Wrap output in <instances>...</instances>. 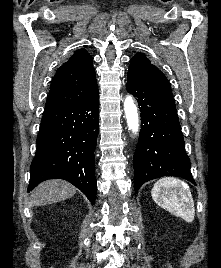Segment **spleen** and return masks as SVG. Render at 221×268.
Returning a JSON list of instances; mask_svg holds the SVG:
<instances>
[{"label": "spleen", "mask_w": 221, "mask_h": 268, "mask_svg": "<svg viewBox=\"0 0 221 268\" xmlns=\"http://www.w3.org/2000/svg\"><path fill=\"white\" fill-rule=\"evenodd\" d=\"M152 199L163 209L186 222L195 216L194 201L187 183L175 177H164L154 184Z\"/></svg>", "instance_id": "spleen-1"}]
</instances>
